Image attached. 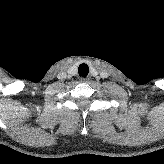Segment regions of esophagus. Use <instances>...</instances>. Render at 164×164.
Here are the masks:
<instances>
[{
	"label": "esophagus",
	"mask_w": 164,
	"mask_h": 164,
	"mask_svg": "<svg viewBox=\"0 0 164 164\" xmlns=\"http://www.w3.org/2000/svg\"><path fill=\"white\" fill-rule=\"evenodd\" d=\"M80 81H81L82 83H87V82H89V78L81 77V78H80Z\"/></svg>",
	"instance_id": "obj_1"
}]
</instances>
